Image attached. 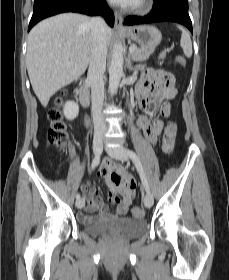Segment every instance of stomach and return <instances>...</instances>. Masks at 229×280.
Listing matches in <instances>:
<instances>
[{
    "label": "stomach",
    "instance_id": "obj_1",
    "mask_svg": "<svg viewBox=\"0 0 229 280\" xmlns=\"http://www.w3.org/2000/svg\"><path fill=\"white\" fill-rule=\"evenodd\" d=\"M124 35L145 49H155L162 40L161 32L152 25L131 27Z\"/></svg>",
    "mask_w": 229,
    "mask_h": 280
}]
</instances>
